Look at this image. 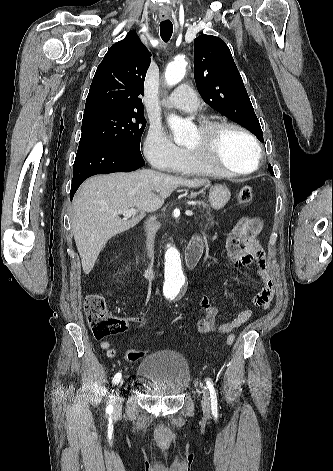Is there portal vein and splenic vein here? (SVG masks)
<instances>
[{
    "mask_svg": "<svg viewBox=\"0 0 333 471\" xmlns=\"http://www.w3.org/2000/svg\"><path fill=\"white\" fill-rule=\"evenodd\" d=\"M117 213L118 214H123L126 217H130V216L135 215L137 213V210L134 209V208H130V209H127V210L118 211ZM185 214L187 216H193V212L191 210H186Z\"/></svg>",
    "mask_w": 333,
    "mask_h": 471,
    "instance_id": "1",
    "label": "portal vein and splenic vein"
}]
</instances>
